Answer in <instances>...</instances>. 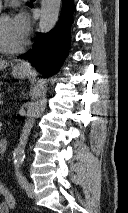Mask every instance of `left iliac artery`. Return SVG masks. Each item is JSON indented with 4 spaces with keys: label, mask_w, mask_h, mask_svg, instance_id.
Here are the masks:
<instances>
[{
    "label": "left iliac artery",
    "mask_w": 128,
    "mask_h": 213,
    "mask_svg": "<svg viewBox=\"0 0 128 213\" xmlns=\"http://www.w3.org/2000/svg\"><path fill=\"white\" fill-rule=\"evenodd\" d=\"M16 177H17V180H18V183L21 185L22 188H25L26 185H27V179L26 177L23 175L21 169H20V166H16Z\"/></svg>",
    "instance_id": "1"
}]
</instances>
